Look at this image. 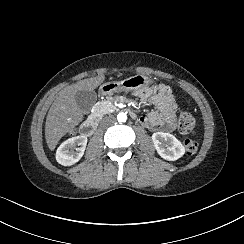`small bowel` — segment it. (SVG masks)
Segmentation results:
<instances>
[{"instance_id":"1","label":"small bowel","mask_w":244,"mask_h":244,"mask_svg":"<svg viewBox=\"0 0 244 244\" xmlns=\"http://www.w3.org/2000/svg\"><path fill=\"white\" fill-rule=\"evenodd\" d=\"M131 93L140 103L149 104L155 108V111L150 113L136 115V120L142 126L154 127L162 131H169L174 127L177 104L168 86L156 83L142 89L131 90Z\"/></svg>"}]
</instances>
